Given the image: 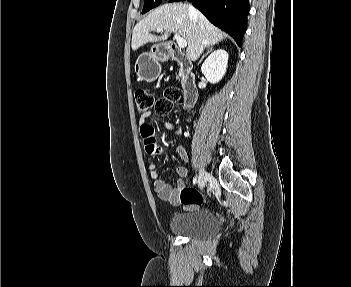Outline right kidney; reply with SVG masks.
I'll return each instance as SVG.
<instances>
[{
  "instance_id": "1",
  "label": "right kidney",
  "mask_w": 351,
  "mask_h": 287,
  "mask_svg": "<svg viewBox=\"0 0 351 287\" xmlns=\"http://www.w3.org/2000/svg\"><path fill=\"white\" fill-rule=\"evenodd\" d=\"M228 53L223 49L214 51L202 64L201 71L210 83H218L226 73Z\"/></svg>"
}]
</instances>
